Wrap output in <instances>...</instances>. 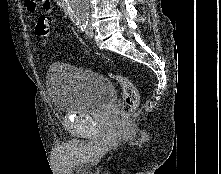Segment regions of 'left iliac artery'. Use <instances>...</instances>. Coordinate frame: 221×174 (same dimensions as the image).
<instances>
[{"label": "left iliac artery", "instance_id": "1", "mask_svg": "<svg viewBox=\"0 0 221 174\" xmlns=\"http://www.w3.org/2000/svg\"><path fill=\"white\" fill-rule=\"evenodd\" d=\"M86 26H87V21L84 22V25H83V27L81 28V30L86 29Z\"/></svg>", "mask_w": 221, "mask_h": 174}]
</instances>
